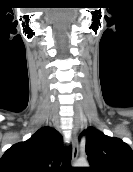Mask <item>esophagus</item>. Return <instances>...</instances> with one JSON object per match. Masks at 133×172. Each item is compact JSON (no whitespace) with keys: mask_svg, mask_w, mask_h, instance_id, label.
Wrapping results in <instances>:
<instances>
[{"mask_svg":"<svg viewBox=\"0 0 133 172\" xmlns=\"http://www.w3.org/2000/svg\"><path fill=\"white\" fill-rule=\"evenodd\" d=\"M72 160L75 161L78 157V143H77V135L76 131H72Z\"/></svg>","mask_w":133,"mask_h":172,"instance_id":"esophagus-1","label":"esophagus"}]
</instances>
